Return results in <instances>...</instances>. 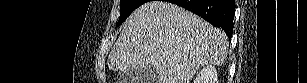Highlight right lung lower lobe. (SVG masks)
I'll return each instance as SVG.
<instances>
[{
  "instance_id": "obj_1",
  "label": "right lung lower lobe",
  "mask_w": 307,
  "mask_h": 83,
  "mask_svg": "<svg viewBox=\"0 0 307 83\" xmlns=\"http://www.w3.org/2000/svg\"><path fill=\"white\" fill-rule=\"evenodd\" d=\"M207 20L215 27H221L230 38L233 34L234 0H170Z\"/></svg>"
}]
</instances>
